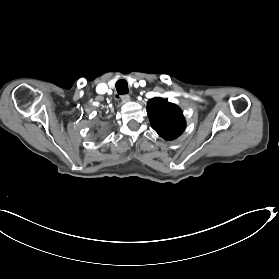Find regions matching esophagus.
<instances>
[{
	"instance_id": "34e87169",
	"label": "esophagus",
	"mask_w": 279,
	"mask_h": 279,
	"mask_svg": "<svg viewBox=\"0 0 279 279\" xmlns=\"http://www.w3.org/2000/svg\"><path fill=\"white\" fill-rule=\"evenodd\" d=\"M121 99L124 103H126V102L130 101V96L125 94V95H122Z\"/></svg>"
}]
</instances>
